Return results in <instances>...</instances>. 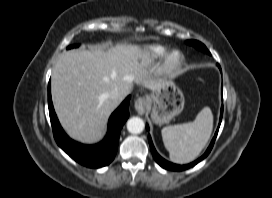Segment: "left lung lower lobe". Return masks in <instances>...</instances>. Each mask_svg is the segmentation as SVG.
<instances>
[{"mask_svg":"<svg viewBox=\"0 0 272 198\" xmlns=\"http://www.w3.org/2000/svg\"><path fill=\"white\" fill-rule=\"evenodd\" d=\"M219 66V65H218ZM220 68V66H219ZM222 96H223V90H222ZM222 115H223V105L221 107V116H220V122H219V126H218V129L215 133V136L214 138L212 139L211 141V144L210 146L208 147V149L206 150V152L204 153V155L202 157H200L198 160L190 163V164H187V165H176V164H173V163H170L168 161H166L165 159H163L155 150L154 146H153V143H152V140H151V137L150 135H148V140H149V144H150V148H151V152H152V155L155 159V161L163 168L165 169H168V170H174V171H182V170H185V169H188L190 167H193L194 165H196L198 162H200L201 160H203L208 154L209 152L211 151L212 147H213V144H214V141L216 139V136H217V133H218V130H219V127H220V124H221V120H222ZM147 130L149 129L148 125L146 126Z\"/></svg>","mask_w":272,"mask_h":198,"instance_id":"obj_1","label":"left lung lower lobe"}]
</instances>
